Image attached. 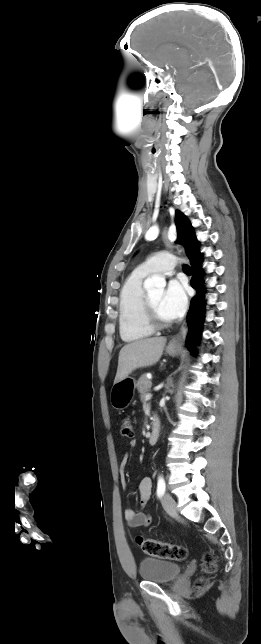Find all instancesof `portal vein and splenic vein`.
Returning a JSON list of instances; mask_svg holds the SVG:
<instances>
[{
	"mask_svg": "<svg viewBox=\"0 0 261 644\" xmlns=\"http://www.w3.org/2000/svg\"><path fill=\"white\" fill-rule=\"evenodd\" d=\"M151 397H152V394H150V393H149V394H147V395L144 397V399H145V400H149V399H151Z\"/></svg>",
	"mask_w": 261,
	"mask_h": 644,
	"instance_id": "1",
	"label": "portal vein and splenic vein"
}]
</instances>
